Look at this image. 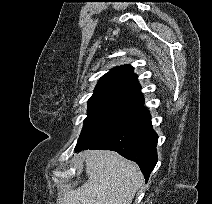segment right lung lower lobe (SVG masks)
Returning a JSON list of instances; mask_svg holds the SVG:
<instances>
[{
	"label": "right lung lower lobe",
	"mask_w": 212,
	"mask_h": 204,
	"mask_svg": "<svg viewBox=\"0 0 212 204\" xmlns=\"http://www.w3.org/2000/svg\"><path fill=\"white\" fill-rule=\"evenodd\" d=\"M157 142L158 136L152 129L150 114L147 109H143L131 123L110 138L94 146L75 149V151L86 149L116 151L123 157L136 162L147 182L157 163Z\"/></svg>",
	"instance_id": "obj_1"
}]
</instances>
